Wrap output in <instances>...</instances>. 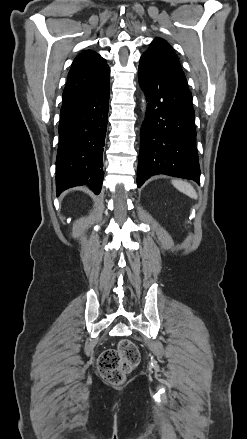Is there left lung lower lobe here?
I'll list each match as a JSON object with an SVG mask.
<instances>
[{"label":"left lung lower lobe","instance_id":"left-lung-lower-lobe-1","mask_svg":"<svg viewBox=\"0 0 247 439\" xmlns=\"http://www.w3.org/2000/svg\"><path fill=\"white\" fill-rule=\"evenodd\" d=\"M138 78L148 105L141 128L137 185L157 174L200 178L192 95L140 60Z\"/></svg>","mask_w":247,"mask_h":439}]
</instances>
